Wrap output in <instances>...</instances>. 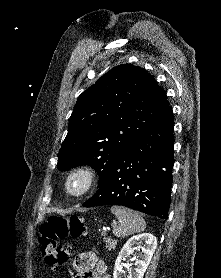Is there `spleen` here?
<instances>
[{"instance_id":"obj_1","label":"spleen","mask_w":221,"mask_h":278,"mask_svg":"<svg viewBox=\"0 0 221 278\" xmlns=\"http://www.w3.org/2000/svg\"><path fill=\"white\" fill-rule=\"evenodd\" d=\"M111 212L120 222L113 230V234L116 237H126L144 231L146 228L144 219L131 209L122 206H112Z\"/></svg>"}]
</instances>
